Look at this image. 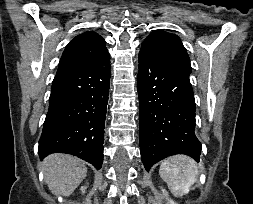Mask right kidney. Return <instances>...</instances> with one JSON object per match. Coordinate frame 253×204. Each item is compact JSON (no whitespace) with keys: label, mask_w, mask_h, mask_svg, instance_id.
Wrapping results in <instances>:
<instances>
[{"label":"right kidney","mask_w":253,"mask_h":204,"mask_svg":"<svg viewBox=\"0 0 253 204\" xmlns=\"http://www.w3.org/2000/svg\"><path fill=\"white\" fill-rule=\"evenodd\" d=\"M86 187H81V191L84 193L85 192Z\"/></svg>","instance_id":"ca27d5eb"}]
</instances>
